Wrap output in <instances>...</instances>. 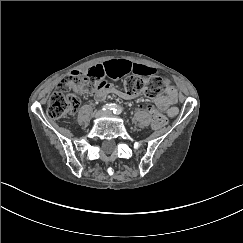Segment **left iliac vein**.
<instances>
[{
    "instance_id": "4c4485c4",
    "label": "left iliac vein",
    "mask_w": 243,
    "mask_h": 243,
    "mask_svg": "<svg viewBox=\"0 0 243 243\" xmlns=\"http://www.w3.org/2000/svg\"><path fill=\"white\" fill-rule=\"evenodd\" d=\"M104 115H111V112L110 111H106V112H104Z\"/></svg>"
}]
</instances>
